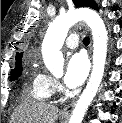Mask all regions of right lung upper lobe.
Segmentation results:
<instances>
[{
    "label": "right lung upper lobe",
    "mask_w": 122,
    "mask_h": 123,
    "mask_svg": "<svg viewBox=\"0 0 122 123\" xmlns=\"http://www.w3.org/2000/svg\"><path fill=\"white\" fill-rule=\"evenodd\" d=\"M22 56H23V52H17L16 53V56H15V58H16V66H19V65H21V61H22Z\"/></svg>",
    "instance_id": "1"
}]
</instances>
